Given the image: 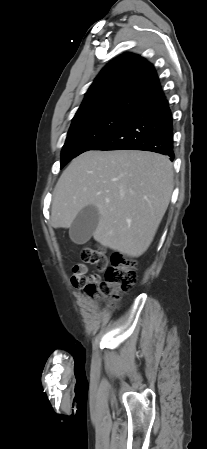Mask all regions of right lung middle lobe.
Instances as JSON below:
<instances>
[{
	"label": "right lung middle lobe",
	"instance_id": "right-lung-middle-lobe-1",
	"mask_svg": "<svg viewBox=\"0 0 207 449\" xmlns=\"http://www.w3.org/2000/svg\"><path fill=\"white\" fill-rule=\"evenodd\" d=\"M133 113L125 109H113L73 118L62 149L60 168L81 153L92 150L122 127Z\"/></svg>",
	"mask_w": 207,
	"mask_h": 449
}]
</instances>
